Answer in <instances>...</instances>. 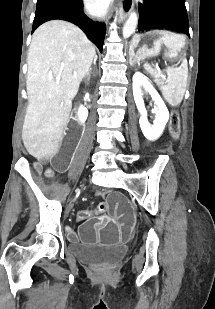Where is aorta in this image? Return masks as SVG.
<instances>
[{
	"instance_id": "1",
	"label": "aorta",
	"mask_w": 215,
	"mask_h": 309,
	"mask_svg": "<svg viewBox=\"0 0 215 309\" xmlns=\"http://www.w3.org/2000/svg\"><path fill=\"white\" fill-rule=\"evenodd\" d=\"M138 16L136 12H130L124 26H123V36L124 38H129L137 26Z\"/></svg>"
}]
</instances>
